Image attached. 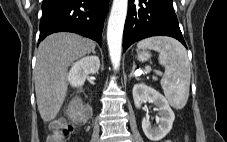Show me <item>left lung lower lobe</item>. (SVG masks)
Returning a JSON list of instances; mask_svg holds the SVG:
<instances>
[{
	"label": "left lung lower lobe",
	"instance_id": "left-lung-lower-lobe-1",
	"mask_svg": "<svg viewBox=\"0 0 227 142\" xmlns=\"http://www.w3.org/2000/svg\"><path fill=\"white\" fill-rule=\"evenodd\" d=\"M164 35L185 41L179 28L172 0H129L123 34V51L147 37Z\"/></svg>",
	"mask_w": 227,
	"mask_h": 142
}]
</instances>
